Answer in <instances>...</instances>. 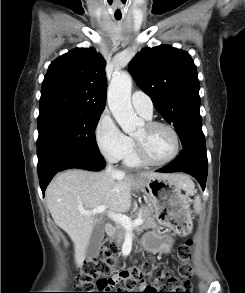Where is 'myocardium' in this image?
<instances>
[{"mask_svg": "<svg viewBox=\"0 0 245 293\" xmlns=\"http://www.w3.org/2000/svg\"><path fill=\"white\" fill-rule=\"evenodd\" d=\"M145 126L147 128H156V127H162L167 129L168 131L171 132L172 136H173V140H174V149L172 154L161 161H153L151 159H149L146 154L144 153L142 146L140 145V143L134 138V143H135V152L137 157L139 158V160L146 165H150V166H163L166 165L170 162H172L173 160H175L177 158V156L180 153V148H181V142H180V136L179 133L177 132V130L167 124V123H163V122H158V121H151L145 124Z\"/></svg>", "mask_w": 245, "mask_h": 293, "instance_id": "obj_1", "label": "myocardium"}]
</instances>
